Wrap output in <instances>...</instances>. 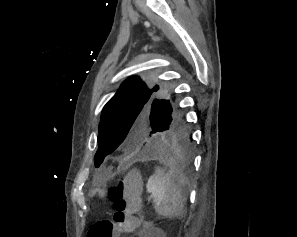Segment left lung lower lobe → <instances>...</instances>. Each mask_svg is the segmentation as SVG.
<instances>
[{"mask_svg":"<svg viewBox=\"0 0 297 237\" xmlns=\"http://www.w3.org/2000/svg\"><path fill=\"white\" fill-rule=\"evenodd\" d=\"M163 128L153 137L143 157H173L190 166L193 140L179 110L175 115L168 117L167 124Z\"/></svg>","mask_w":297,"mask_h":237,"instance_id":"0a47b994","label":"left lung lower lobe"}]
</instances>
